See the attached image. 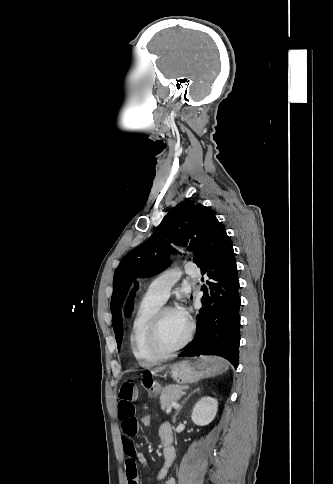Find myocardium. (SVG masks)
Instances as JSON below:
<instances>
[{"label":"myocardium","instance_id":"f54148a6","mask_svg":"<svg viewBox=\"0 0 333 484\" xmlns=\"http://www.w3.org/2000/svg\"><path fill=\"white\" fill-rule=\"evenodd\" d=\"M176 310L175 308L172 307H160L154 316L152 317L148 331H147V346L150 350V352L159 357V358H167L178 351L182 350L192 339L193 337V332H194V324L191 320L188 321V332L184 340L178 344L177 346L166 349L162 346L161 341H160V327H161V322L164 317V315L168 311Z\"/></svg>","mask_w":333,"mask_h":484}]
</instances>
